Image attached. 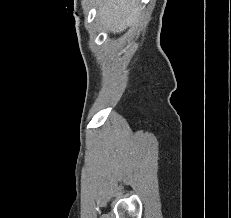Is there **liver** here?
Here are the masks:
<instances>
[{
  "label": "liver",
  "mask_w": 231,
  "mask_h": 218,
  "mask_svg": "<svg viewBox=\"0 0 231 218\" xmlns=\"http://www.w3.org/2000/svg\"><path fill=\"white\" fill-rule=\"evenodd\" d=\"M96 6L100 21L113 33L122 32L139 14L137 0H96Z\"/></svg>",
  "instance_id": "6515ba94"
}]
</instances>
